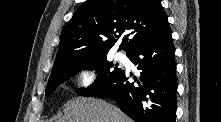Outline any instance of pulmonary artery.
<instances>
[{
    "label": "pulmonary artery",
    "mask_w": 221,
    "mask_h": 122,
    "mask_svg": "<svg viewBox=\"0 0 221 122\" xmlns=\"http://www.w3.org/2000/svg\"><path fill=\"white\" fill-rule=\"evenodd\" d=\"M117 58L122 59L124 57V55L122 53H117Z\"/></svg>",
    "instance_id": "obj_1"
}]
</instances>
